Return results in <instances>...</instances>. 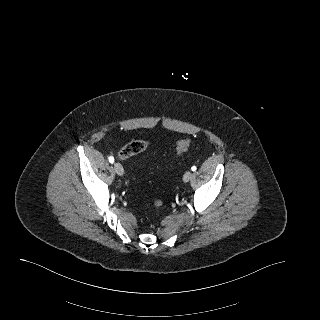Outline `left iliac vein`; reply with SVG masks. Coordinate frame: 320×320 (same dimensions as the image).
<instances>
[{
    "instance_id": "1",
    "label": "left iliac vein",
    "mask_w": 320,
    "mask_h": 320,
    "mask_svg": "<svg viewBox=\"0 0 320 320\" xmlns=\"http://www.w3.org/2000/svg\"><path fill=\"white\" fill-rule=\"evenodd\" d=\"M191 177H192V172L186 171L185 174L183 175V181L188 182L190 181Z\"/></svg>"
}]
</instances>
